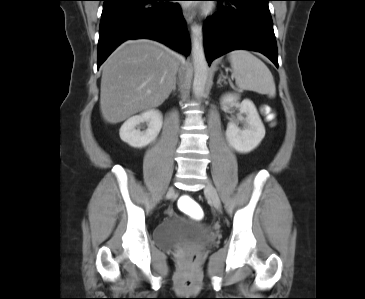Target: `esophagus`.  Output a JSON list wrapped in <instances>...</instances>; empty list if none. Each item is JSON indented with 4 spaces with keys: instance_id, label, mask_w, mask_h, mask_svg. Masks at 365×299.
Wrapping results in <instances>:
<instances>
[{
    "instance_id": "34e87169",
    "label": "esophagus",
    "mask_w": 365,
    "mask_h": 299,
    "mask_svg": "<svg viewBox=\"0 0 365 299\" xmlns=\"http://www.w3.org/2000/svg\"><path fill=\"white\" fill-rule=\"evenodd\" d=\"M183 15H184V18H185L187 24L190 25V26H192L193 25V21H194L193 15L189 11H187V10H184L183 11Z\"/></svg>"
}]
</instances>
